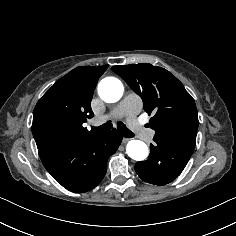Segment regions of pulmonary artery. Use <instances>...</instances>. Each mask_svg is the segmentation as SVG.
I'll use <instances>...</instances> for the list:
<instances>
[{"instance_id": "1", "label": "pulmonary artery", "mask_w": 236, "mask_h": 236, "mask_svg": "<svg viewBox=\"0 0 236 236\" xmlns=\"http://www.w3.org/2000/svg\"><path fill=\"white\" fill-rule=\"evenodd\" d=\"M114 115H115V117H117V118H122V117L125 116V112H124V110H123L121 107H119V108L114 112Z\"/></svg>"}]
</instances>
